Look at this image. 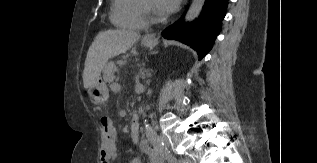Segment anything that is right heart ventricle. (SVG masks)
I'll return each instance as SVG.
<instances>
[{
  "mask_svg": "<svg viewBox=\"0 0 317 163\" xmlns=\"http://www.w3.org/2000/svg\"><path fill=\"white\" fill-rule=\"evenodd\" d=\"M110 19L124 29H144L147 19L141 8V0H112Z\"/></svg>",
  "mask_w": 317,
  "mask_h": 163,
  "instance_id": "1",
  "label": "right heart ventricle"
}]
</instances>
